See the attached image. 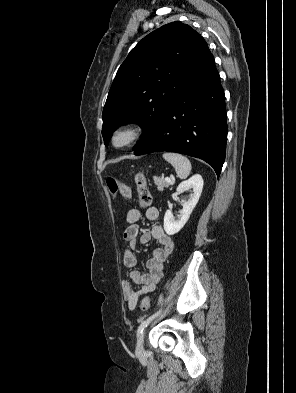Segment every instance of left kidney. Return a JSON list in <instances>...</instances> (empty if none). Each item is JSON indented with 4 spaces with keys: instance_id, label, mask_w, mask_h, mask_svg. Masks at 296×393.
<instances>
[{
    "instance_id": "left-kidney-1",
    "label": "left kidney",
    "mask_w": 296,
    "mask_h": 393,
    "mask_svg": "<svg viewBox=\"0 0 296 393\" xmlns=\"http://www.w3.org/2000/svg\"><path fill=\"white\" fill-rule=\"evenodd\" d=\"M193 188V193L187 201H183V208L180 211L178 220H174L172 212L167 210L164 216V230L168 235L178 233L188 221L190 214L199 201L203 189V179L201 175H193L190 179L183 181L176 189V195L184 192L185 190Z\"/></svg>"
}]
</instances>
